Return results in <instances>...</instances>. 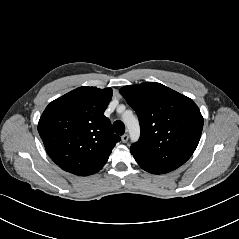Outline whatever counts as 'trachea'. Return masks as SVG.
<instances>
[{
    "instance_id": "3493384b",
    "label": "trachea",
    "mask_w": 239,
    "mask_h": 239,
    "mask_svg": "<svg viewBox=\"0 0 239 239\" xmlns=\"http://www.w3.org/2000/svg\"><path fill=\"white\" fill-rule=\"evenodd\" d=\"M113 130L118 135H123L125 133V126L122 121L117 120L113 123Z\"/></svg>"
}]
</instances>
